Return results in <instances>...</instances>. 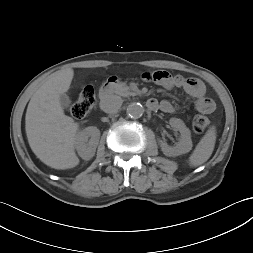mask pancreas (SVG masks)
I'll list each match as a JSON object with an SVG mask.
<instances>
[{"mask_svg":"<svg viewBox=\"0 0 253 253\" xmlns=\"http://www.w3.org/2000/svg\"><path fill=\"white\" fill-rule=\"evenodd\" d=\"M115 93L122 96V97H127V96H133L136 93L132 92L131 89L126 85V83L120 82L116 85Z\"/></svg>","mask_w":253,"mask_h":253,"instance_id":"pancreas-1","label":"pancreas"}]
</instances>
